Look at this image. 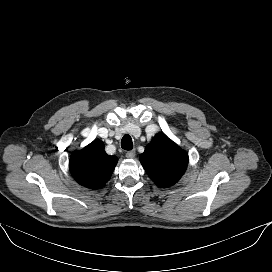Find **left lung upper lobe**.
Returning <instances> with one entry per match:
<instances>
[{
    "label": "left lung upper lobe",
    "instance_id": "1",
    "mask_svg": "<svg viewBox=\"0 0 272 272\" xmlns=\"http://www.w3.org/2000/svg\"><path fill=\"white\" fill-rule=\"evenodd\" d=\"M140 161L156 185L169 187L184 174L188 154L165 134L158 133L140 155Z\"/></svg>",
    "mask_w": 272,
    "mask_h": 272
}]
</instances>
